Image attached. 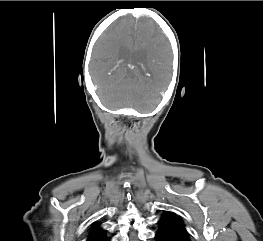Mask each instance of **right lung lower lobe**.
Masks as SVG:
<instances>
[{
	"label": "right lung lower lobe",
	"instance_id": "1",
	"mask_svg": "<svg viewBox=\"0 0 263 241\" xmlns=\"http://www.w3.org/2000/svg\"><path fill=\"white\" fill-rule=\"evenodd\" d=\"M106 241H110V239L108 238V239H106Z\"/></svg>",
	"mask_w": 263,
	"mask_h": 241
}]
</instances>
